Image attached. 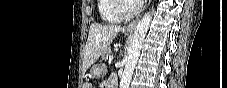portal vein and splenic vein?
<instances>
[{"instance_id": "1", "label": "portal vein and splenic vein", "mask_w": 227, "mask_h": 88, "mask_svg": "<svg viewBox=\"0 0 227 88\" xmlns=\"http://www.w3.org/2000/svg\"><path fill=\"white\" fill-rule=\"evenodd\" d=\"M113 60V56L109 57V62H111Z\"/></svg>"}]
</instances>
